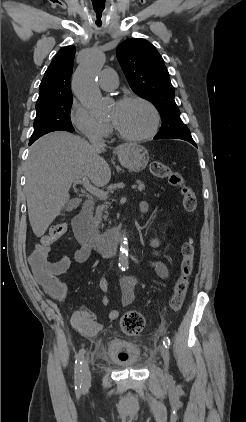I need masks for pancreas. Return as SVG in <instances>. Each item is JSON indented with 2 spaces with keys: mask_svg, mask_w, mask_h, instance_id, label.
Instances as JSON below:
<instances>
[{
  "mask_svg": "<svg viewBox=\"0 0 246 422\" xmlns=\"http://www.w3.org/2000/svg\"><path fill=\"white\" fill-rule=\"evenodd\" d=\"M138 182V184H139V188L141 187L142 188V190L145 188V185L143 184V182L142 181H140V180H138L137 181ZM138 188V190L139 191H142V190H140ZM107 208H108V203H104V204H102V205H98L97 206V208H96V213H95V216H94V222L96 223V224H100L101 223V221H102V219H105L106 220V218H107V215H106V213H107Z\"/></svg>",
  "mask_w": 246,
  "mask_h": 422,
  "instance_id": "obj_1",
  "label": "pancreas"
}]
</instances>
